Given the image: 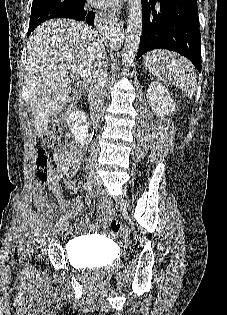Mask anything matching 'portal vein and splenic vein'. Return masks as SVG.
<instances>
[{
	"label": "portal vein and splenic vein",
	"mask_w": 227,
	"mask_h": 315,
	"mask_svg": "<svg viewBox=\"0 0 227 315\" xmlns=\"http://www.w3.org/2000/svg\"><path fill=\"white\" fill-rule=\"evenodd\" d=\"M72 72L73 73H78L81 77H83L84 79H88L90 76V73L87 72L86 70H84L81 67H72Z\"/></svg>",
	"instance_id": "18ae733b"
}]
</instances>
